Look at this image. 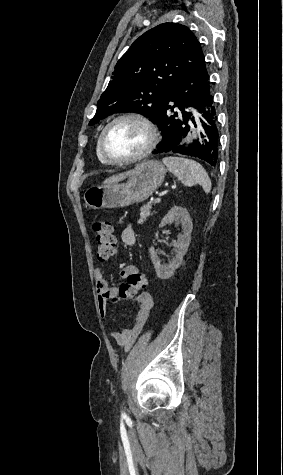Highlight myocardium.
<instances>
[{"label":"myocardium","instance_id":"1","mask_svg":"<svg viewBox=\"0 0 283 475\" xmlns=\"http://www.w3.org/2000/svg\"><path fill=\"white\" fill-rule=\"evenodd\" d=\"M127 119H132V120H136L143 123L149 130V134H150L149 141L147 145L145 146V148L136 155L125 157V158H111L105 152L104 137L112 125H114L115 123L121 120H127ZM157 142H158V129L151 118L141 113H124L113 118L102 129L98 138V148H99L101 157L106 162H132V164H135L147 158L155 149Z\"/></svg>","mask_w":283,"mask_h":475}]
</instances>
